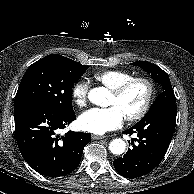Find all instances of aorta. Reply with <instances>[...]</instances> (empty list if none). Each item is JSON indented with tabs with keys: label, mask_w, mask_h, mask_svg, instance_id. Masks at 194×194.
<instances>
[{
	"label": "aorta",
	"mask_w": 194,
	"mask_h": 194,
	"mask_svg": "<svg viewBox=\"0 0 194 194\" xmlns=\"http://www.w3.org/2000/svg\"><path fill=\"white\" fill-rule=\"evenodd\" d=\"M108 94V90L104 87L94 88L90 91L88 97L89 100L96 105H103L105 98ZM126 149V143L122 139H114L109 144V150L115 155L122 154Z\"/></svg>",
	"instance_id": "obj_1"
}]
</instances>
